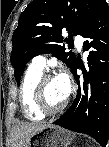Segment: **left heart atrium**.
Wrapping results in <instances>:
<instances>
[{
	"label": "left heart atrium",
	"instance_id": "left-heart-atrium-1",
	"mask_svg": "<svg viewBox=\"0 0 109 147\" xmlns=\"http://www.w3.org/2000/svg\"><path fill=\"white\" fill-rule=\"evenodd\" d=\"M57 78L59 79L62 89L67 97L71 91V80L69 74L66 71H63L58 75Z\"/></svg>",
	"mask_w": 109,
	"mask_h": 147
}]
</instances>
